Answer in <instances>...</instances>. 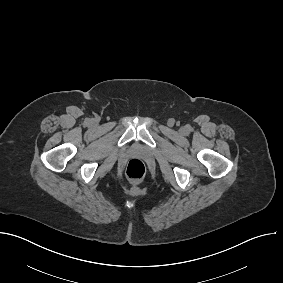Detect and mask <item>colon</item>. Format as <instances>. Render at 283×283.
I'll return each instance as SVG.
<instances>
[{"instance_id":"5ec220e1","label":"colon","mask_w":283,"mask_h":283,"mask_svg":"<svg viewBox=\"0 0 283 283\" xmlns=\"http://www.w3.org/2000/svg\"><path fill=\"white\" fill-rule=\"evenodd\" d=\"M145 175V166L139 159H132L126 167V176L129 180L139 181Z\"/></svg>"}]
</instances>
